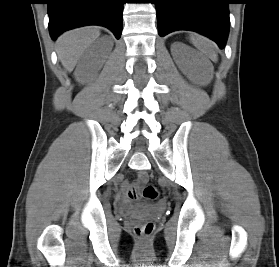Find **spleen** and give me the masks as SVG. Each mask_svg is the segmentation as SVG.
Returning <instances> with one entry per match:
<instances>
[{
	"label": "spleen",
	"mask_w": 279,
	"mask_h": 267,
	"mask_svg": "<svg viewBox=\"0 0 279 267\" xmlns=\"http://www.w3.org/2000/svg\"><path fill=\"white\" fill-rule=\"evenodd\" d=\"M191 41L193 45L198 48L206 57L212 61H217V55L213 49V46L207 39L192 36Z\"/></svg>",
	"instance_id": "obj_1"
}]
</instances>
